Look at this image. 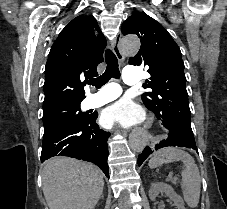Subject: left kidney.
I'll return each instance as SVG.
<instances>
[{
	"label": "left kidney",
	"mask_w": 227,
	"mask_h": 209,
	"mask_svg": "<svg viewBox=\"0 0 227 209\" xmlns=\"http://www.w3.org/2000/svg\"><path fill=\"white\" fill-rule=\"evenodd\" d=\"M159 193H165L166 197H169V199L173 201L177 209H185L182 197L175 193L171 185H167V183H152L149 189V199H151V201H155Z\"/></svg>",
	"instance_id": "5707ae66"
}]
</instances>
